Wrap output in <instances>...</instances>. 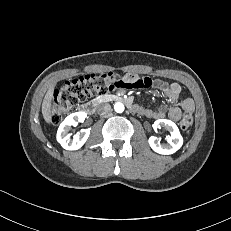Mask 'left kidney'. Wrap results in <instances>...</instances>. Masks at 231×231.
<instances>
[{"label":"left kidney","mask_w":231,"mask_h":231,"mask_svg":"<svg viewBox=\"0 0 231 231\" xmlns=\"http://www.w3.org/2000/svg\"><path fill=\"white\" fill-rule=\"evenodd\" d=\"M154 127H163L170 132V136L167 138L168 144L160 143L155 136H151L149 138V145L155 152L163 155H169L175 153L181 148L183 145V138L174 122L167 119H158L154 122Z\"/></svg>","instance_id":"left-kidney-1"}]
</instances>
